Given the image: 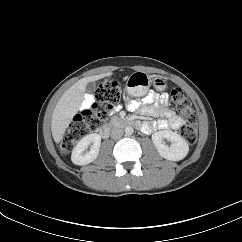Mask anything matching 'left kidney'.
<instances>
[{"instance_id": "obj_1", "label": "left kidney", "mask_w": 242, "mask_h": 242, "mask_svg": "<svg viewBox=\"0 0 242 242\" xmlns=\"http://www.w3.org/2000/svg\"><path fill=\"white\" fill-rule=\"evenodd\" d=\"M165 139L171 142L170 146L165 143ZM152 141L157 148L159 155L167 160H182L189 152V146L186 140L171 130L155 132L152 135Z\"/></svg>"}]
</instances>
